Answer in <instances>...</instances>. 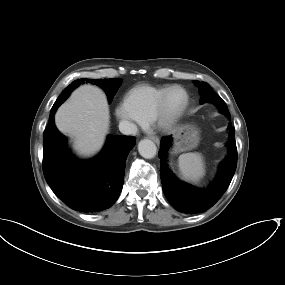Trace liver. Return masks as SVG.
I'll return each instance as SVG.
<instances>
[{"instance_id":"6515ba94","label":"liver","mask_w":285,"mask_h":285,"mask_svg":"<svg viewBox=\"0 0 285 285\" xmlns=\"http://www.w3.org/2000/svg\"><path fill=\"white\" fill-rule=\"evenodd\" d=\"M57 128L74 139L78 154L91 156L104 144L110 115L106 95L93 85H82L55 114Z\"/></svg>"}]
</instances>
